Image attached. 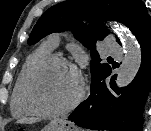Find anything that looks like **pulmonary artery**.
Segmentation results:
<instances>
[{
  "label": "pulmonary artery",
  "instance_id": "obj_1",
  "mask_svg": "<svg viewBox=\"0 0 151 131\" xmlns=\"http://www.w3.org/2000/svg\"><path fill=\"white\" fill-rule=\"evenodd\" d=\"M48 44L54 48L59 44V36L57 34H53L48 38ZM104 46L108 53L119 56L121 55V48L112 38H106L104 40Z\"/></svg>",
  "mask_w": 151,
  "mask_h": 131
}]
</instances>
